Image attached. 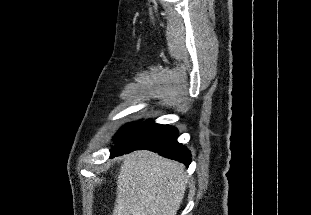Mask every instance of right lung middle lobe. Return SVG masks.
<instances>
[{"mask_svg": "<svg viewBox=\"0 0 311 215\" xmlns=\"http://www.w3.org/2000/svg\"><path fill=\"white\" fill-rule=\"evenodd\" d=\"M140 122H135L128 124L121 128L119 132L114 136L113 140L115 143H118L121 141L124 137H126L134 128H136L139 125Z\"/></svg>", "mask_w": 311, "mask_h": 215, "instance_id": "right-lung-middle-lobe-1", "label": "right lung middle lobe"}]
</instances>
